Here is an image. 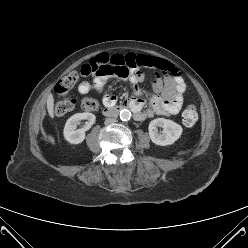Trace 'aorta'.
I'll return each mask as SVG.
<instances>
[{"label":"aorta","mask_w":248,"mask_h":248,"mask_svg":"<svg viewBox=\"0 0 248 248\" xmlns=\"http://www.w3.org/2000/svg\"><path fill=\"white\" fill-rule=\"evenodd\" d=\"M119 116L122 121H128L131 118V112L127 109H123L120 111Z\"/></svg>","instance_id":"762f6f07"}]
</instances>
